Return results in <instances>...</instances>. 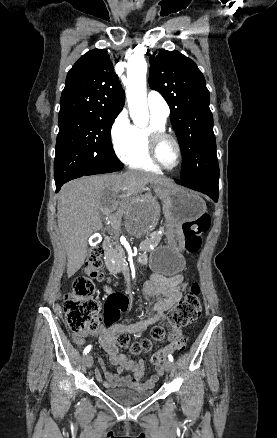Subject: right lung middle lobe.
<instances>
[{"instance_id":"right-lung-middle-lobe-1","label":"right lung middle lobe","mask_w":277,"mask_h":438,"mask_svg":"<svg viewBox=\"0 0 277 438\" xmlns=\"http://www.w3.org/2000/svg\"><path fill=\"white\" fill-rule=\"evenodd\" d=\"M114 119L59 117L54 160L55 182L76 175L112 172L123 168L111 143L110 130Z\"/></svg>"}]
</instances>
